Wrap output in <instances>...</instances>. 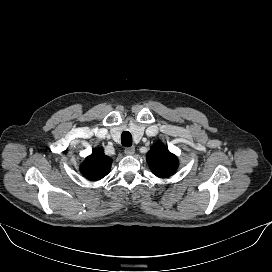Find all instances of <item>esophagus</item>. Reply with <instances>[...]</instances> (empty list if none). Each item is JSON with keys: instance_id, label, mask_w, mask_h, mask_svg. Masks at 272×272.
<instances>
[{"instance_id": "esophagus-1", "label": "esophagus", "mask_w": 272, "mask_h": 272, "mask_svg": "<svg viewBox=\"0 0 272 272\" xmlns=\"http://www.w3.org/2000/svg\"><path fill=\"white\" fill-rule=\"evenodd\" d=\"M135 153V147H126L125 148V154L126 155H133Z\"/></svg>"}]
</instances>
